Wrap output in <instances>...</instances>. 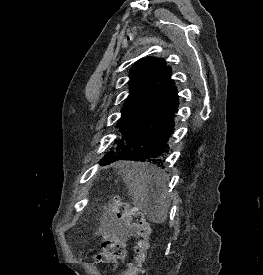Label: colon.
<instances>
[{"label": "colon", "instance_id": "1", "mask_svg": "<svg viewBox=\"0 0 263 275\" xmlns=\"http://www.w3.org/2000/svg\"><path fill=\"white\" fill-rule=\"evenodd\" d=\"M110 207L115 217L130 230L136 239L133 245L134 259L122 275H139L143 272V264L150 246L151 227L141 212L129 208L117 197L111 199ZM125 255L124 241L107 235L102 241V251L95 257V263L114 269L120 261L124 260Z\"/></svg>", "mask_w": 263, "mask_h": 275}]
</instances>
